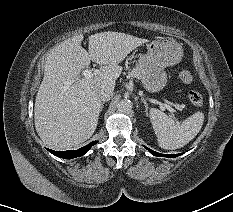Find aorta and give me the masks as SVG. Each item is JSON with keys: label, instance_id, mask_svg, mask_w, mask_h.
<instances>
[{"label": "aorta", "instance_id": "aorta-1", "mask_svg": "<svg viewBox=\"0 0 233 212\" xmlns=\"http://www.w3.org/2000/svg\"><path fill=\"white\" fill-rule=\"evenodd\" d=\"M117 108L120 112H129L132 109V103L128 99H122L118 103Z\"/></svg>", "mask_w": 233, "mask_h": 212}]
</instances>
